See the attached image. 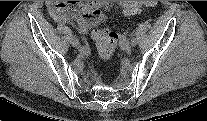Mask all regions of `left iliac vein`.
I'll return each instance as SVG.
<instances>
[{
  "mask_svg": "<svg viewBox=\"0 0 207 121\" xmlns=\"http://www.w3.org/2000/svg\"><path fill=\"white\" fill-rule=\"evenodd\" d=\"M131 45H132V44H131ZM131 45L128 44V45L125 46V48H126V49H129V48L131 47ZM132 46H133V45H132Z\"/></svg>",
  "mask_w": 207,
  "mask_h": 121,
  "instance_id": "1",
  "label": "left iliac vein"
}]
</instances>
